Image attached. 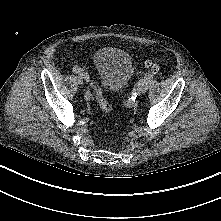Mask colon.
<instances>
[{"instance_id": "obj_1", "label": "colon", "mask_w": 221, "mask_h": 221, "mask_svg": "<svg viewBox=\"0 0 221 221\" xmlns=\"http://www.w3.org/2000/svg\"><path fill=\"white\" fill-rule=\"evenodd\" d=\"M146 66L150 67L153 72H158L160 68L159 63L156 60H147ZM92 84L96 89L97 101L101 111L106 115L110 114L112 108L102 89L96 83L92 82Z\"/></svg>"}]
</instances>
